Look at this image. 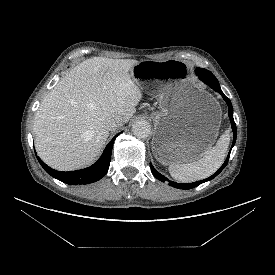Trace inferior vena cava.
Listing matches in <instances>:
<instances>
[{"instance_id": "1", "label": "inferior vena cava", "mask_w": 275, "mask_h": 275, "mask_svg": "<svg viewBox=\"0 0 275 275\" xmlns=\"http://www.w3.org/2000/svg\"><path fill=\"white\" fill-rule=\"evenodd\" d=\"M123 124H124V121L121 117L113 116L107 120L106 128L111 131V130L117 129L118 127H121Z\"/></svg>"}]
</instances>
